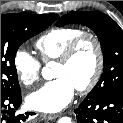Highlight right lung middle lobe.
Returning <instances> with one entry per match:
<instances>
[{
	"instance_id": "right-lung-middle-lobe-1",
	"label": "right lung middle lobe",
	"mask_w": 123,
	"mask_h": 123,
	"mask_svg": "<svg viewBox=\"0 0 123 123\" xmlns=\"http://www.w3.org/2000/svg\"><path fill=\"white\" fill-rule=\"evenodd\" d=\"M54 22L52 14L1 15V94L20 92L15 55L19 46Z\"/></svg>"
}]
</instances>
